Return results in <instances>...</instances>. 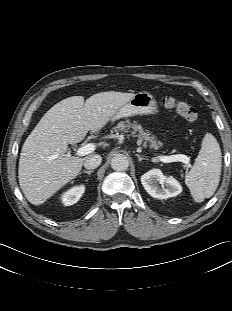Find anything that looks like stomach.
I'll return each mask as SVG.
<instances>
[{"label": "stomach", "mask_w": 232, "mask_h": 311, "mask_svg": "<svg viewBox=\"0 0 232 311\" xmlns=\"http://www.w3.org/2000/svg\"><path fill=\"white\" fill-rule=\"evenodd\" d=\"M158 112V105L148 92L136 93L126 104H124L111 119L112 121L119 118L131 117L135 115H150Z\"/></svg>", "instance_id": "obj_1"}]
</instances>
